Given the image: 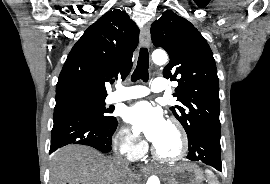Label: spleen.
Segmentation results:
<instances>
[{"label":"spleen","mask_w":270,"mask_h":184,"mask_svg":"<svg viewBox=\"0 0 270 184\" xmlns=\"http://www.w3.org/2000/svg\"><path fill=\"white\" fill-rule=\"evenodd\" d=\"M206 174L209 178V184H220L211 171H206Z\"/></svg>","instance_id":"1"}]
</instances>
